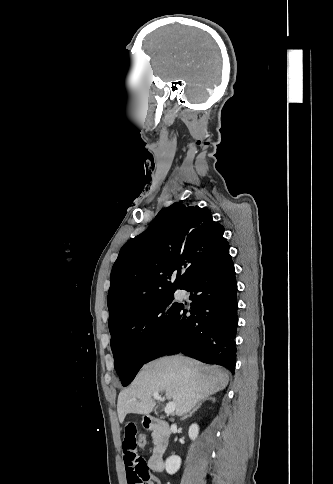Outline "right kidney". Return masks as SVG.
Returning <instances> with one entry per match:
<instances>
[{"label":"right kidney","mask_w":333,"mask_h":484,"mask_svg":"<svg viewBox=\"0 0 333 484\" xmlns=\"http://www.w3.org/2000/svg\"><path fill=\"white\" fill-rule=\"evenodd\" d=\"M199 433V427L197 424H192L189 427L188 435L191 440H195ZM181 465V458L176 455H172L166 459L165 462V469L166 472L170 475L175 474Z\"/></svg>","instance_id":"ca27d5eb"}]
</instances>
